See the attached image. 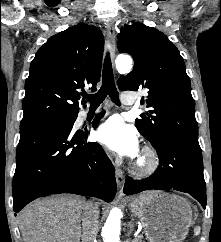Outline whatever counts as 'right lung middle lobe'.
<instances>
[{
	"mask_svg": "<svg viewBox=\"0 0 221 242\" xmlns=\"http://www.w3.org/2000/svg\"><path fill=\"white\" fill-rule=\"evenodd\" d=\"M62 120H64V121H72V120H73V118H72V117H69V118L62 119Z\"/></svg>",
	"mask_w": 221,
	"mask_h": 242,
	"instance_id": "right-lung-middle-lobe-1",
	"label": "right lung middle lobe"
}]
</instances>
